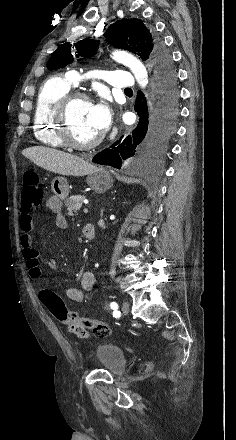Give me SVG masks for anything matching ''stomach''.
Wrapping results in <instances>:
<instances>
[{"label": "stomach", "instance_id": "0dacf381", "mask_svg": "<svg viewBox=\"0 0 236 440\" xmlns=\"http://www.w3.org/2000/svg\"><path fill=\"white\" fill-rule=\"evenodd\" d=\"M87 184L97 193H104L113 185V179L108 171L103 168H96L87 176ZM51 188L53 193L61 200L69 194L68 182L64 177H55L52 180Z\"/></svg>", "mask_w": 236, "mask_h": 440}]
</instances>
